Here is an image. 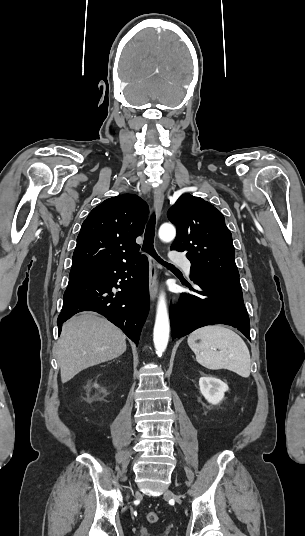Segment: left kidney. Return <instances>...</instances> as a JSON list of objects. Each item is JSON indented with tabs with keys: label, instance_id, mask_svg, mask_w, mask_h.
I'll return each mask as SVG.
<instances>
[{
	"label": "left kidney",
	"instance_id": "1",
	"mask_svg": "<svg viewBox=\"0 0 305 536\" xmlns=\"http://www.w3.org/2000/svg\"><path fill=\"white\" fill-rule=\"evenodd\" d=\"M200 392L209 404H219L224 398V392L229 390L227 384L214 378V376H203L199 380Z\"/></svg>",
	"mask_w": 305,
	"mask_h": 536
}]
</instances>
